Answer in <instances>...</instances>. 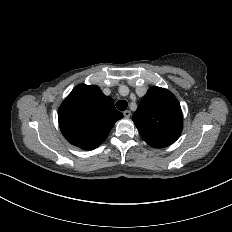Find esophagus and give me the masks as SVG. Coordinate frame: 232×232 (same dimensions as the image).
<instances>
[{
    "instance_id": "obj_1",
    "label": "esophagus",
    "mask_w": 232,
    "mask_h": 232,
    "mask_svg": "<svg viewBox=\"0 0 232 232\" xmlns=\"http://www.w3.org/2000/svg\"><path fill=\"white\" fill-rule=\"evenodd\" d=\"M124 117L129 118L131 116V111L130 110H125L123 112Z\"/></svg>"
}]
</instances>
